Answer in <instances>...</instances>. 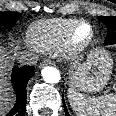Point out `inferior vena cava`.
I'll list each match as a JSON object with an SVG mask.
<instances>
[{"mask_svg":"<svg viewBox=\"0 0 116 116\" xmlns=\"http://www.w3.org/2000/svg\"><path fill=\"white\" fill-rule=\"evenodd\" d=\"M17 61L21 65H34L37 63L36 57L29 52H22L17 55Z\"/></svg>","mask_w":116,"mask_h":116,"instance_id":"602c4592","label":"inferior vena cava"}]
</instances>
